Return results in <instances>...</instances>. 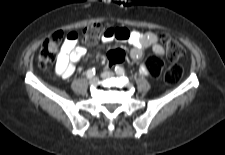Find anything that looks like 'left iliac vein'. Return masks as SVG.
Masks as SVG:
<instances>
[{"instance_id":"1","label":"left iliac vein","mask_w":225,"mask_h":155,"mask_svg":"<svg viewBox=\"0 0 225 155\" xmlns=\"http://www.w3.org/2000/svg\"><path fill=\"white\" fill-rule=\"evenodd\" d=\"M102 78L107 79V78H112L114 77V73L110 71H105L101 74Z\"/></svg>"}]
</instances>
